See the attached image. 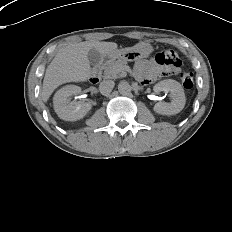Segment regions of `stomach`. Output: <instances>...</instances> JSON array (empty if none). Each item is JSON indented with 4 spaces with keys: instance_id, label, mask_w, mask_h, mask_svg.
Segmentation results:
<instances>
[{
    "instance_id": "1",
    "label": "stomach",
    "mask_w": 232,
    "mask_h": 232,
    "mask_svg": "<svg viewBox=\"0 0 232 232\" xmlns=\"http://www.w3.org/2000/svg\"><path fill=\"white\" fill-rule=\"evenodd\" d=\"M153 52V47L149 43H139L132 48H125L117 50V52L108 55L106 58L109 60H125L133 61L140 58H147Z\"/></svg>"
}]
</instances>
